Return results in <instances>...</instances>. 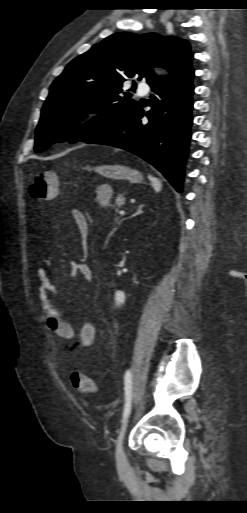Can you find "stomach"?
Here are the masks:
<instances>
[{
	"mask_svg": "<svg viewBox=\"0 0 247 513\" xmlns=\"http://www.w3.org/2000/svg\"><path fill=\"white\" fill-rule=\"evenodd\" d=\"M88 170H94L96 173L114 180H128L131 183H138L143 180L142 174L137 170H134L124 165H99L93 169L89 166Z\"/></svg>",
	"mask_w": 247,
	"mask_h": 513,
	"instance_id": "0dacf381",
	"label": "stomach"
}]
</instances>
